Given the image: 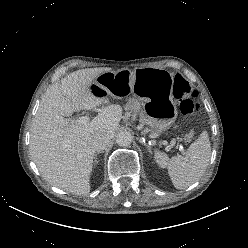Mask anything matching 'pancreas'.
Listing matches in <instances>:
<instances>
[{"mask_svg":"<svg viewBox=\"0 0 248 248\" xmlns=\"http://www.w3.org/2000/svg\"><path fill=\"white\" fill-rule=\"evenodd\" d=\"M125 110L129 112H133L134 114H138L141 122L147 121V118L144 116V114L141 111V106L138 100L134 98H129L125 105Z\"/></svg>","mask_w":248,"mask_h":248,"instance_id":"cf45deb5","label":"pancreas"}]
</instances>
